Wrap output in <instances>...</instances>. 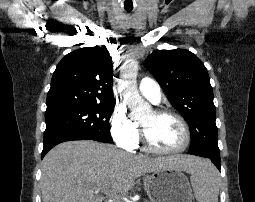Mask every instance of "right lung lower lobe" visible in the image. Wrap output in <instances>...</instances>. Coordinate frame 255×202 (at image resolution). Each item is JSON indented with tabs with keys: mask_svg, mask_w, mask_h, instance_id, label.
<instances>
[{
	"mask_svg": "<svg viewBox=\"0 0 255 202\" xmlns=\"http://www.w3.org/2000/svg\"><path fill=\"white\" fill-rule=\"evenodd\" d=\"M70 140H93L87 136L77 134V133H56L52 134L49 136L44 137V147L43 151L41 154V158L45 156V154L53 148L55 145L65 142V141H70Z\"/></svg>",
	"mask_w": 255,
	"mask_h": 202,
	"instance_id": "right-lung-lower-lobe-1",
	"label": "right lung lower lobe"
}]
</instances>
